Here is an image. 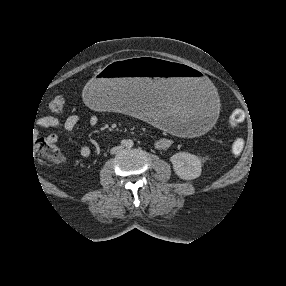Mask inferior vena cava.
I'll list each match as a JSON object with an SVG mask.
<instances>
[{"instance_id": "1", "label": "inferior vena cava", "mask_w": 286, "mask_h": 286, "mask_svg": "<svg viewBox=\"0 0 286 286\" xmlns=\"http://www.w3.org/2000/svg\"><path fill=\"white\" fill-rule=\"evenodd\" d=\"M120 149H121V147H114V148H112L111 149V154L117 153Z\"/></svg>"}]
</instances>
